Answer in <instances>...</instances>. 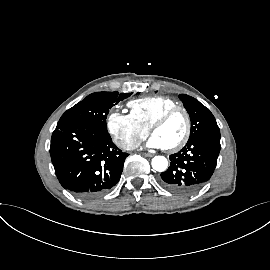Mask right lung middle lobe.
Here are the masks:
<instances>
[{"label": "right lung middle lobe", "instance_id": "dd1d6c3e", "mask_svg": "<svg viewBox=\"0 0 270 270\" xmlns=\"http://www.w3.org/2000/svg\"><path fill=\"white\" fill-rule=\"evenodd\" d=\"M132 93L96 92L67 110L57 125L65 123H88L107 131L106 118L109 110Z\"/></svg>", "mask_w": 270, "mask_h": 270}]
</instances>
